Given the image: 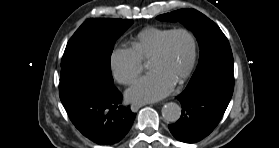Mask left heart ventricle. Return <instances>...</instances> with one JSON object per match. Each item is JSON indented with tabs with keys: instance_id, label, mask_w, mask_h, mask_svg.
Segmentation results:
<instances>
[{
	"instance_id": "obj_1",
	"label": "left heart ventricle",
	"mask_w": 279,
	"mask_h": 148,
	"mask_svg": "<svg viewBox=\"0 0 279 148\" xmlns=\"http://www.w3.org/2000/svg\"><path fill=\"white\" fill-rule=\"evenodd\" d=\"M192 55L191 38L187 34H177L168 40L164 56L149 64V70L175 83L186 73Z\"/></svg>"
}]
</instances>
